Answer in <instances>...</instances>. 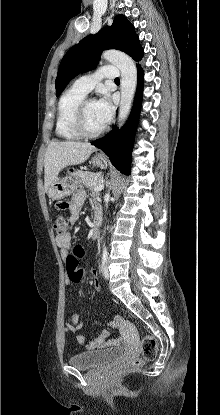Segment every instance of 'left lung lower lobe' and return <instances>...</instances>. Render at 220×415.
<instances>
[{
    "instance_id": "1",
    "label": "left lung lower lobe",
    "mask_w": 220,
    "mask_h": 415,
    "mask_svg": "<svg viewBox=\"0 0 220 415\" xmlns=\"http://www.w3.org/2000/svg\"><path fill=\"white\" fill-rule=\"evenodd\" d=\"M143 82L144 72L138 64L137 91L134 106L125 127L118 131L114 126L113 130L109 134L91 143L104 151L110 158L112 164L125 174L130 173L132 148L142 103Z\"/></svg>"
}]
</instances>
